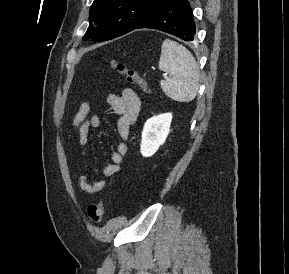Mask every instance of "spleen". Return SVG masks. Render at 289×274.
Listing matches in <instances>:
<instances>
[{"mask_svg": "<svg viewBox=\"0 0 289 274\" xmlns=\"http://www.w3.org/2000/svg\"><path fill=\"white\" fill-rule=\"evenodd\" d=\"M159 69L169 77L160 81L163 92L178 102L192 101L199 89V68L183 45L165 39L161 46Z\"/></svg>", "mask_w": 289, "mask_h": 274, "instance_id": "spleen-1", "label": "spleen"}]
</instances>
